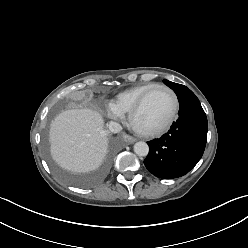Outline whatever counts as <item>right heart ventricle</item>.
<instances>
[{
	"label": "right heart ventricle",
	"instance_id": "e07e8e85",
	"mask_svg": "<svg viewBox=\"0 0 248 248\" xmlns=\"http://www.w3.org/2000/svg\"><path fill=\"white\" fill-rule=\"evenodd\" d=\"M156 83H144L133 86L119 93L111 103L113 110L120 116L128 115L141 95Z\"/></svg>",
	"mask_w": 248,
	"mask_h": 248
}]
</instances>
